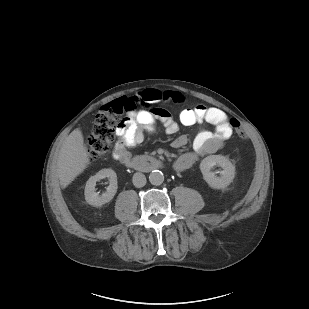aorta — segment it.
<instances>
[{
	"instance_id": "obj_1",
	"label": "aorta",
	"mask_w": 309,
	"mask_h": 309,
	"mask_svg": "<svg viewBox=\"0 0 309 309\" xmlns=\"http://www.w3.org/2000/svg\"><path fill=\"white\" fill-rule=\"evenodd\" d=\"M149 181L152 185H161L164 181V175L159 170H154L149 175Z\"/></svg>"
}]
</instances>
